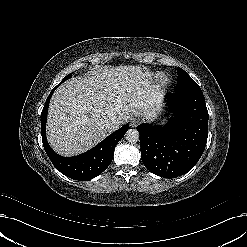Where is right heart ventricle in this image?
Returning a JSON list of instances; mask_svg holds the SVG:
<instances>
[{
  "label": "right heart ventricle",
  "mask_w": 247,
  "mask_h": 247,
  "mask_svg": "<svg viewBox=\"0 0 247 247\" xmlns=\"http://www.w3.org/2000/svg\"><path fill=\"white\" fill-rule=\"evenodd\" d=\"M155 75L154 74H150V78L154 77Z\"/></svg>",
  "instance_id": "1"
}]
</instances>
